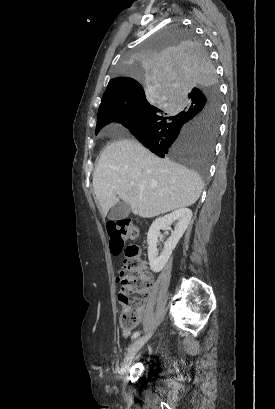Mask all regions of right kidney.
Listing matches in <instances>:
<instances>
[{
    "label": "right kidney",
    "mask_w": 275,
    "mask_h": 409,
    "mask_svg": "<svg viewBox=\"0 0 275 409\" xmlns=\"http://www.w3.org/2000/svg\"><path fill=\"white\" fill-rule=\"evenodd\" d=\"M191 217L192 211H190V209H178V211H173L170 215L159 217V219L153 221L147 235V243L149 245L148 259L153 273H160L166 263H168V259H170L172 251H174L181 237H183L191 221ZM175 221H177L175 229L172 231L171 237L164 243L163 253H160L158 257V237H162L160 231L161 229H170L169 225H172Z\"/></svg>",
    "instance_id": "1"
}]
</instances>
